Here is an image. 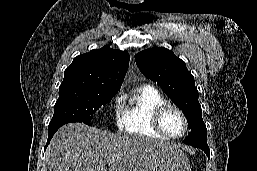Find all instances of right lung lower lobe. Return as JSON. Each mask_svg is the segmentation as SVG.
Masks as SVG:
<instances>
[{
  "mask_svg": "<svg viewBox=\"0 0 257 171\" xmlns=\"http://www.w3.org/2000/svg\"><path fill=\"white\" fill-rule=\"evenodd\" d=\"M64 125V123H58V124H53V125H49L48 128V140L45 146V149L47 148L48 144L50 143L53 135L55 134V132L62 126Z\"/></svg>",
  "mask_w": 257,
  "mask_h": 171,
  "instance_id": "right-lung-lower-lobe-1",
  "label": "right lung lower lobe"
}]
</instances>
